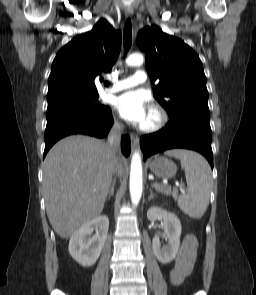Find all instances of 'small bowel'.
<instances>
[{"mask_svg": "<svg viewBox=\"0 0 256 295\" xmlns=\"http://www.w3.org/2000/svg\"><path fill=\"white\" fill-rule=\"evenodd\" d=\"M196 254L197 240L193 235L188 234L175 258L174 268L169 273L174 283H180L191 272Z\"/></svg>", "mask_w": 256, "mask_h": 295, "instance_id": "1", "label": "small bowel"}]
</instances>
